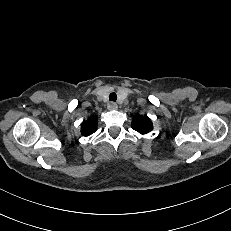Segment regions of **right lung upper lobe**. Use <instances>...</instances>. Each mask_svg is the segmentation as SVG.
<instances>
[{
  "label": "right lung upper lobe",
  "mask_w": 231,
  "mask_h": 231,
  "mask_svg": "<svg viewBox=\"0 0 231 231\" xmlns=\"http://www.w3.org/2000/svg\"><path fill=\"white\" fill-rule=\"evenodd\" d=\"M97 129V117H91L81 125V133L83 136H89Z\"/></svg>",
  "instance_id": "obj_1"
}]
</instances>
